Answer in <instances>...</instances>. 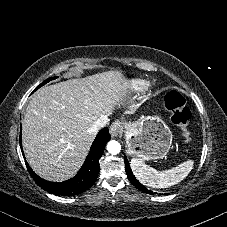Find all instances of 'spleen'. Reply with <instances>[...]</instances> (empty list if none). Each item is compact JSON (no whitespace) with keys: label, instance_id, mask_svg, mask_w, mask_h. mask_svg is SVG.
<instances>
[{"label":"spleen","instance_id":"obj_1","mask_svg":"<svg viewBox=\"0 0 227 227\" xmlns=\"http://www.w3.org/2000/svg\"><path fill=\"white\" fill-rule=\"evenodd\" d=\"M131 169L141 184L152 188H168L181 182L193 169V160H187L165 171L146 165L138 158H132Z\"/></svg>","mask_w":227,"mask_h":227}]
</instances>
